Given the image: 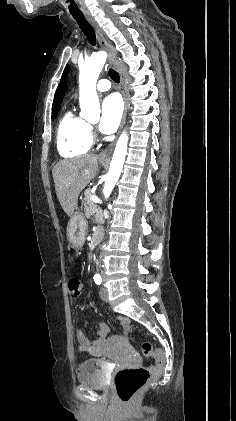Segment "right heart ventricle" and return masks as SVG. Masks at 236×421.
Wrapping results in <instances>:
<instances>
[{
  "label": "right heart ventricle",
  "mask_w": 236,
  "mask_h": 421,
  "mask_svg": "<svg viewBox=\"0 0 236 421\" xmlns=\"http://www.w3.org/2000/svg\"><path fill=\"white\" fill-rule=\"evenodd\" d=\"M93 146L89 123L81 116L67 111L57 127V150L62 157L76 159L87 154Z\"/></svg>",
  "instance_id": "obj_1"
}]
</instances>
